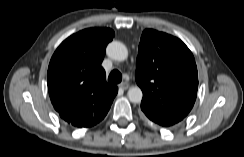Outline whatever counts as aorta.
<instances>
[{
  "label": "aorta",
  "instance_id": "762f6f07",
  "mask_svg": "<svg viewBox=\"0 0 244 157\" xmlns=\"http://www.w3.org/2000/svg\"><path fill=\"white\" fill-rule=\"evenodd\" d=\"M107 55L116 61H124L128 57V50L127 47L119 42V41H112L108 44L106 49ZM143 97L142 90L138 86L131 87L128 90V98L133 103L141 102Z\"/></svg>",
  "mask_w": 244,
  "mask_h": 157
}]
</instances>
